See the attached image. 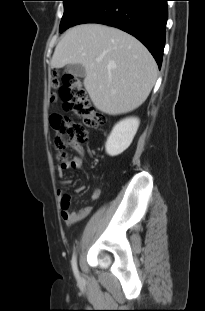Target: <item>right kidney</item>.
<instances>
[{
    "label": "right kidney",
    "mask_w": 205,
    "mask_h": 311,
    "mask_svg": "<svg viewBox=\"0 0 205 311\" xmlns=\"http://www.w3.org/2000/svg\"><path fill=\"white\" fill-rule=\"evenodd\" d=\"M139 124L140 121L137 118H126L117 123L105 145L107 154L117 156L125 151L132 143Z\"/></svg>",
    "instance_id": "obj_1"
}]
</instances>
